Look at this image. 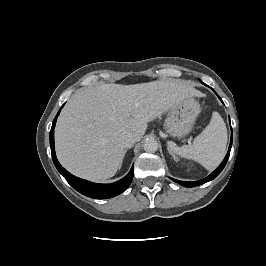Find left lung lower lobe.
I'll return each mask as SVG.
<instances>
[{
  "mask_svg": "<svg viewBox=\"0 0 266 266\" xmlns=\"http://www.w3.org/2000/svg\"><path fill=\"white\" fill-rule=\"evenodd\" d=\"M219 99L221 100L220 97H219ZM232 139H233V135L231 134V142H230L229 149H228L226 157L224 158L222 163L219 165V167L216 170H214L208 177H206V178H204L202 180H199V181H194V182H184V181H178V180H175V179H172V180L177 182V183H179L182 186H185V187H195V186H199V185H202V184H204L206 182H209V181L213 180L223 170V168L225 167V165H226V163L228 161V158H229V155H230V150H231V147H232Z\"/></svg>",
  "mask_w": 266,
  "mask_h": 266,
  "instance_id": "left-lung-lower-lobe-1",
  "label": "left lung lower lobe"
}]
</instances>
